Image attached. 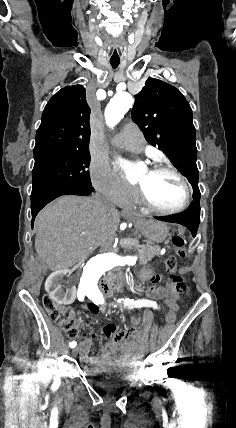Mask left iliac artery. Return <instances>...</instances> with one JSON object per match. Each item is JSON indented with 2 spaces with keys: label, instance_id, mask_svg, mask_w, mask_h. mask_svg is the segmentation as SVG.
Returning <instances> with one entry per match:
<instances>
[{
  "label": "left iliac artery",
  "instance_id": "44dca946",
  "mask_svg": "<svg viewBox=\"0 0 236 428\" xmlns=\"http://www.w3.org/2000/svg\"><path fill=\"white\" fill-rule=\"evenodd\" d=\"M85 295H87V297L90 300H92L94 302V304H96V305L104 303V298H103V295L100 291H87V292H85ZM121 300L124 301V306H128L129 308H134V307L141 308L143 306L157 308L156 302H153L150 300H143V299L140 300L139 299L137 301H134V299L130 300L129 298H126V299L122 298V299H118V302H121ZM114 307H116V305Z\"/></svg>",
  "mask_w": 236,
  "mask_h": 428
}]
</instances>
